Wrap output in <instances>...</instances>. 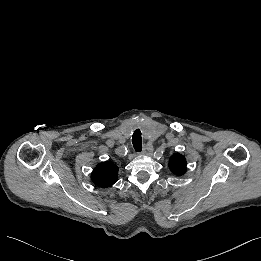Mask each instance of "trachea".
<instances>
[{
	"mask_svg": "<svg viewBox=\"0 0 261 261\" xmlns=\"http://www.w3.org/2000/svg\"><path fill=\"white\" fill-rule=\"evenodd\" d=\"M132 144H133L135 152H141L142 151V139H141V132H140L139 129H137L133 133Z\"/></svg>",
	"mask_w": 261,
	"mask_h": 261,
	"instance_id": "obj_1",
	"label": "trachea"
}]
</instances>
